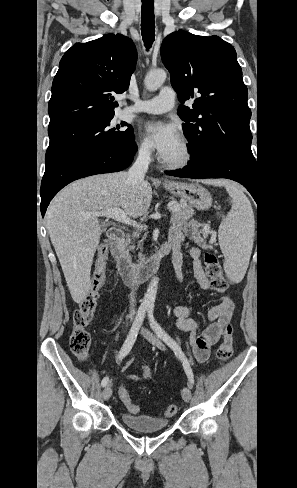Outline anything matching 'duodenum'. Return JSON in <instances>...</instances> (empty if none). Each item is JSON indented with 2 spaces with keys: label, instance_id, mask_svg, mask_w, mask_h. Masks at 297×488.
I'll use <instances>...</instances> for the list:
<instances>
[{
  "label": "duodenum",
  "instance_id": "410a0bca",
  "mask_svg": "<svg viewBox=\"0 0 297 488\" xmlns=\"http://www.w3.org/2000/svg\"><path fill=\"white\" fill-rule=\"evenodd\" d=\"M111 255L116 262L118 272L126 284L134 285L146 280L156 269L157 265L167 256L171 248L164 244L151 259L140 267L135 266L128 257L124 246V232L119 228H112L108 234Z\"/></svg>",
  "mask_w": 297,
  "mask_h": 488
}]
</instances>
